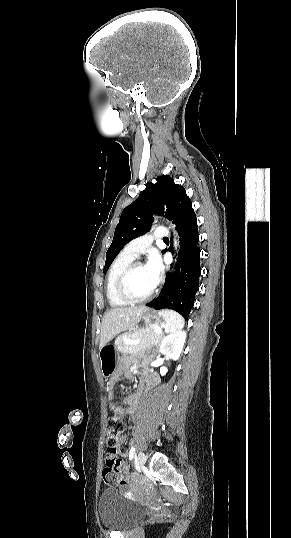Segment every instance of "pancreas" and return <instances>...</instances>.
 I'll return each instance as SVG.
<instances>
[{"label": "pancreas", "instance_id": "cf45deb5", "mask_svg": "<svg viewBox=\"0 0 291 538\" xmlns=\"http://www.w3.org/2000/svg\"><path fill=\"white\" fill-rule=\"evenodd\" d=\"M162 337L163 334L161 332H156L153 328H143L125 334L116 342L115 345L121 353H136L146 349L149 346L157 345ZM125 338L131 340L139 339L140 342L137 344H127L124 341Z\"/></svg>", "mask_w": 291, "mask_h": 538}]
</instances>
